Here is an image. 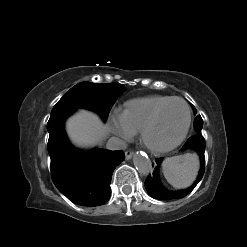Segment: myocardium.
Segmentation results:
<instances>
[{
  "mask_svg": "<svg viewBox=\"0 0 247 247\" xmlns=\"http://www.w3.org/2000/svg\"><path fill=\"white\" fill-rule=\"evenodd\" d=\"M175 101L182 102L185 105L186 110H187V120H186V124H185V127H184L181 135L177 139H175L174 141L167 143V144H154V143H152L148 138L149 131L152 129V127L157 122L162 111L170 103L175 102ZM191 121H192L191 108H190L189 104L186 102V100H184L183 98H180V97H172V98L168 99L167 101H165L164 103H162L160 106H158L157 109L150 116V118L147 120V122L144 124V126L142 127V129L140 131L141 141L146 148H148L150 151H152L154 153L168 152V151L176 148L178 145H180L184 141V139L186 138V136L189 132V129L191 126Z\"/></svg>",
  "mask_w": 247,
  "mask_h": 247,
  "instance_id": "obj_1",
  "label": "myocardium"
}]
</instances>
